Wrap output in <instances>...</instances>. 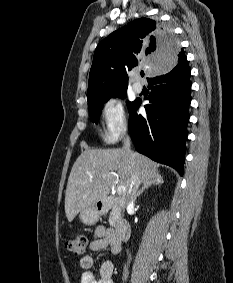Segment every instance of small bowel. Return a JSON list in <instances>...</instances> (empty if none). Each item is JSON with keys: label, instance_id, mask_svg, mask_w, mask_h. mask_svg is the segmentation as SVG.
I'll return each instance as SVG.
<instances>
[{"label": "small bowel", "instance_id": "c3829d8e", "mask_svg": "<svg viewBox=\"0 0 233 283\" xmlns=\"http://www.w3.org/2000/svg\"><path fill=\"white\" fill-rule=\"evenodd\" d=\"M95 239L89 244L91 251H100L107 247H110L113 253H117L120 246L117 245L115 240L114 231L110 228L99 226L95 230ZM94 259L90 255H85L80 259V267L83 269V273L80 277L79 283H114L113 281V263L110 260H106L100 267V277L96 278L92 267Z\"/></svg>", "mask_w": 233, "mask_h": 283}]
</instances>
